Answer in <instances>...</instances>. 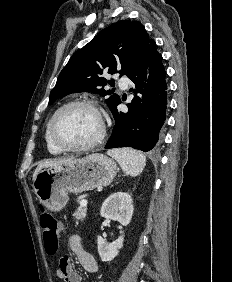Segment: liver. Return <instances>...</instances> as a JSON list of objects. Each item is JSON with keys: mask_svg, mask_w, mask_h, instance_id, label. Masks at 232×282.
<instances>
[{"mask_svg": "<svg viewBox=\"0 0 232 282\" xmlns=\"http://www.w3.org/2000/svg\"><path fill=\"white\" fill-rule=\"evenodd\" d=\"M72 160L73 159H61V160H46V161H43V162L39 163V165L35 169L34 174H33V179L44 168H50V167L58 166V165H61V164H64V163L71 162Z\"/></svg>", "mask_w": 232, "mask_h": 282, "instance_id": "1", "label": "liver"}]
</instances>
